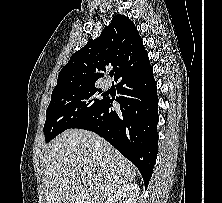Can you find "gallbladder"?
I'll return each mask as SVG.
<instances>
[{
  "label": "gallbladder",
  "mask_w": 222,
  "mask_h": 203,
  "mask_svg": "<svg viewBox=\"0 0 222 203\" xmlns=\"http://www.w3.org/2000/svg\"><path fill=\"white\" fill-rule=\"evenodd\" d=\"M63 203H70V202H67V201H66V202H63Z\"/></svg>",
  "instance_id": "obj_1"
}]
</instances>
